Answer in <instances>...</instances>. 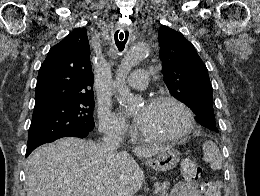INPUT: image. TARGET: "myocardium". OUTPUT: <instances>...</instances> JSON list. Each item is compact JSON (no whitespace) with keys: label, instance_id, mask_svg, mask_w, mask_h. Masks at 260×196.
<instances>
[{"label":"myocardium","instance_id":"1","mask_svg":"<svg viewBox=\"0 0 260 196\" xmlns=\"http://www.w3.org/2000/svg\"><path fill=\"white\" fill-rule=\"evenodd\" d=\"M164 103L175 104L180 107L187 115V123L185 127L179 132L172 134H151L146 132H141V137L147 142H172L185 138L194 128L195 124V114L193 110L184 101L174 95H158L151 97L147 105H159Z\"/></svg>","mask_w":260,"mask_h":196}]
</instances>
